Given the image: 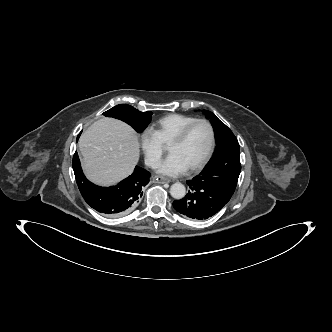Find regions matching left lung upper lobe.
Instances as JSON below:
<instances>
[{
    "label": "left lung upper lobe",
    "mask_w": 332,
    "mask_h": 332,
    "mask_svg": "<svg viewBox=\"0 0 332 332\" xmlns=\"http://www.w3.org/2000/svg\"><path fill=\"white\" fill-rule=\"evenodd\" d=\"M211 119L217 149L209 163L202 170L201 179L228 199L233 195L241 170L239 143L232 131L212 112L203 111Z\"/></svg>",
    "instance_id": "1"
}]
</instances>
